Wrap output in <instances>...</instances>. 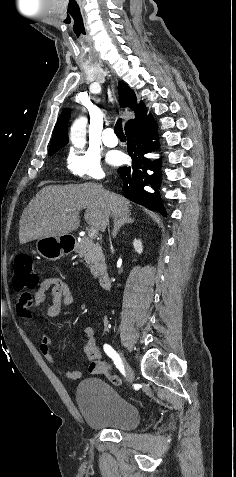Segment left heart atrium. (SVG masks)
I'll use <instances>...</instances> for the list:
<instances>
[{
    "label": "left heart atrium",
    "instance_id": "obj_1",
    "mask_svg": "<svg viewBox=\"0 0 236 477\" xmlns=\"http://www.w3.org/2000/svg\"><path fill=\"white\" fill-rule=\"evenodd\" d=\"M109 161L114 165H119L124 162V156L120 152H112L109 155Z\"/></svg>",
    "mask_w": 236,
    "mask_h": 477
}]
</instances>
